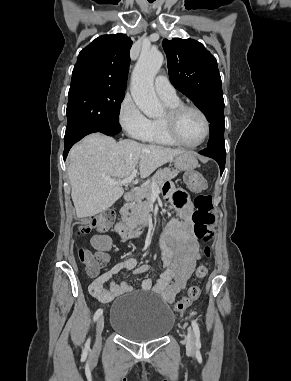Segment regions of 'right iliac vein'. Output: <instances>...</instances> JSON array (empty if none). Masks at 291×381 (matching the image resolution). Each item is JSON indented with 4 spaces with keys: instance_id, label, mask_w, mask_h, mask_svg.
<instances>
[{
    "instance_id": "63e3f726",
    "label": "right iliac vein",
    "mask_w": 291,
    "mask_h": 381,
    "mask_svg": "<svg viewBox=\"0 0 291 381\" xmlns=\"http://www.w3.org/2000/svg\"><path fill=\"white\" fill-rule=\"evenodd\" d=\"M104 329V317H99L96 324V346H99L101 343V335Z\"/></svg>"
}]
</instances>
